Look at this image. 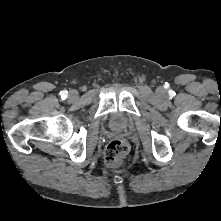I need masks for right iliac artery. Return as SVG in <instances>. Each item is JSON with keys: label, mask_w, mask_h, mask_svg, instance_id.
Returning a JSON list of instances; mask_svg holds the SVG:
<instances>
[{"label": "right iliac artery", "mask_w": 221, "mask_h": 221, "mask_svg": "<svg viewBox=\"0 0 221 221\" xmlns=\"http://www.w3.org/2000/svg\"><path fill=\"white\" fill-rule=\"evenodd\" d=\"M60 94L62 99H65L67 97V91H62L60 92Z\"/></svg>", "instance_id": "1"}]
</instances>
